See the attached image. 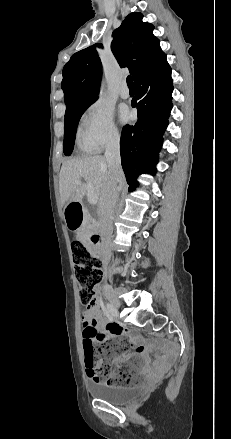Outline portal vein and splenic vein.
I'll list each match as a JSON object with an SVG mask.
<instances>
[{
    "label": "portal vein and splenic vein",
    "mask_w": 231,
    "mask_h": 439,
    "mask_svg": "<svg viewBox=\"0 0 231 439\" xmlns=\"http://www.w3.org/2000/svg\"><path fill=\"white\" fill-rule=\"evenodd\" d=\"M75 184L79 185V184H81V181L75 180ZM87 198H88V202L90 204H96L98 202V196L94 192L93 186L89 183L87 184Z\"/></svg>",
    "instance_id": "portal-vein-and-splenic-vein-1"
}]
</instances>
